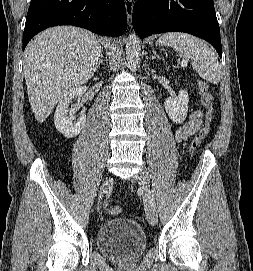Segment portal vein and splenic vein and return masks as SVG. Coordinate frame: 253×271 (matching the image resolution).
Here are the masks:
<instances>
[{"mask_svg":"<svg viewBox=\"0 0 253 271\" xmlns=\"http://www.w3.org/2000/svg\"><path fill=\"white\" fill-rule=\"evenodd\" d=\"M181 66H183V67L186 66V62H182Z\"/></svg>","mask_w":253,"mask_h":271,"instance_id":"obj_1","label":"portal vein and splenic vein"}]
</instances>
